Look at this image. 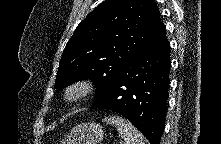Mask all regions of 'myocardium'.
<instances>
[{
	"label": "myocardium",
	"instance_id": "myocardium-1",
	"mask_svg": "<svg viewBox=\"0 0 221 144\" xmlns=\"http://www.w3.org/2000/svg\"><path fill=\"white\" fill-rule=\"evenodd\" d=\"M94 83L88 78L77 79L68 84L63 91V100L69 105L80 103L94 92Z\"/></svg>",
	"mask_w": 221,
	"mask_h": 144
}]
</instances>
